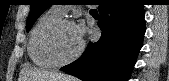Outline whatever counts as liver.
<instances>
[{
    "mask_svg": "<svg viewBox=\"0 0 169 81\" xmlns=\"http://www.w3.org/2000/svg\"><path fill=\"white\" fill-rule=\"evenodd\" d=\"M23 81H76L74 77L63 73L38 70L29 65L24 68Z\"/></svg>",
    "mask_w": 169,
    "mask_h": 81,
    "instance_id": "6515ba94",
    "label": "liver"
}]
</instances>
